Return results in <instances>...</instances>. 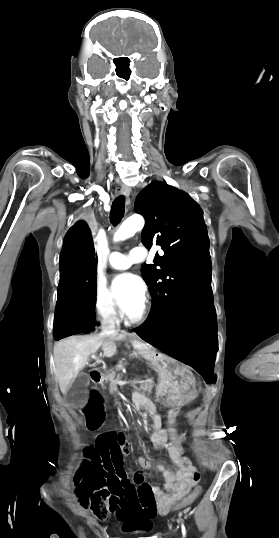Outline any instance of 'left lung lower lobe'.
Wrapping results in <instances>:
<instances>
[{"label": "left lung lower lobe", "mask_w": 279, "mask_h": 538, "mask_svg": "<svg viewBox=\"0 0 279 538\" xmlns=\"http://www.w3.org/2000/svg\"><path fill=\"white\" fill-rule=\"evenodd\" d=\"M134 331L146 342L193 367L208 382L214 381L217 329L211 286L184 299L164 322L151 327L143 324Z\"/></svg>", "instance_id": "1"}]
</instances>
